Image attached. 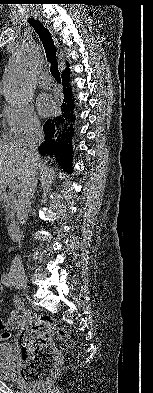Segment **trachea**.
<instances>
[{"instance_id":"3493384b","label":"trachea","mask_w":153,"mask_h":393,"mask_svg":"<svg viewBox=\"0 0 153 393\" xmlns=\"http://www.w3.org/2000/svg\"><path fill=\"white\" fill-rule=\"evenodd\" d=\"M28 22L34 28L35 32L38 34L43 44L47 60L51 64L50 72L52 76L55 78V80L58 83H60L61 77H60V72L58 69L57 57H56L57 48L54 44V40L52 38L50 31L39 20L29 18Z\"/></svg>"}]
</instances>
